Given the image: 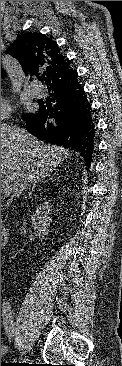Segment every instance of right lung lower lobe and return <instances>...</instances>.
Masks as SVG:
<instances>
[{"mask_svg":"<svg viewBox=\"0 0 122 366\" xmlns=\"http://www.w3.org/2000/svg\"><path fill=\"white\" fill-rule=\"evenodd\" d=\"M48 91L53 105L42 103L37 113L27 114L26 129L42 141L75 150L88 169L95 145V128L90 103L77 73L66 83L48 87Z\"/></svg>","mask_w":122,"mask_h":366,"instance_id":"1","label":"right lung lower lobe"}]
</instances>
